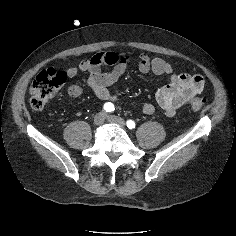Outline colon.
Instances as JSON below:
<instances>
[{
    "label": "colon",
    "mask_w": 236,
    "mask_h": 236,
    "mask_svg": "<svg viewBox=\"0 0 236 236\" xmlns=\"http://www.w3.org/2000/svg\"><path fill=\"white\" fill-rule=\"evenodd\" d=\"M68 80L65 72L49 68L40 72L30 87V105L35 110L43 109L49 100L61 89ZM205 104L203 98H193L189 105L193 111H199Z\"/></svg>",
    "instance_id": "1"
}]
</instances>
